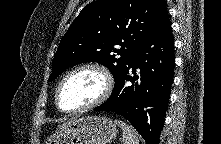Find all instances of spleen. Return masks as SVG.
I'll return each instance as SVG.
<instances>
[{
    "instance_id": "3e777b00",
    "label": "spleen",
    "mask_w": 221,
    "mask_h": 144,
    "mask_svg": "<svg viewBox=\"0 0 221 144\" xmlns=\"http://www.w3.org/2000/svg\"><path fill=\"white\" fill-rule=\"evenodd\" d=\"M115 123L120 126L123 131L124 144H139L138 134L132 127L121 120H115Z\"/></svg>"
}]
</instances>
